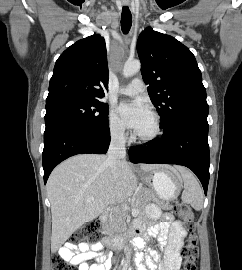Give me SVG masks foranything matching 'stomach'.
<instances>
[{
    "label": "stomach",
    "mask_w": 242,
    "mask_h": 270,
    "mask_svg": "<svg viewBox=\"0 0 242 270\" xmlns=\"http://www.w3.org/2000/svg\"><path fill=\"white\" fill-rule=\"evenodd\" d=\"M161 200L175 199L180 192L182 180L178 172L170 166L154 169L141 175Z\"/></svg>",
    "instance_id": "obj_1"
}]
</instances>
